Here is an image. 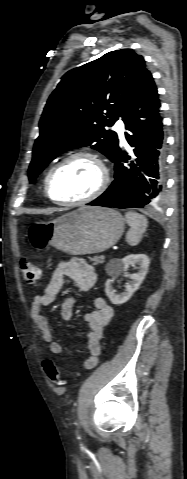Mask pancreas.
Listing matches in <instances>:
<instances>
[{"instance_id":"1","label":"pancreas","mask_w":187,"mask_h":479,"mask_svg":"<svg viewBox=\"0 0 187 479\" xmlns=\"http://www.w3.org/2000/svg\"><path fill=\"white\" fill-rule=\"evenodd\" d=\"M91 261H93V265L104 263V259H102L101 256H94L91 258Z\"/></svg>"}]
</instances>
